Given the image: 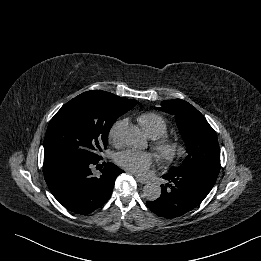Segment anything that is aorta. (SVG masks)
Wrapping results in <instances>:
<instances>
[{
    "mask_svg": "<svg viewBox=\"0 0 261 261\" xmlns=\"http://www.w3.org/2000/svg\"><path fill=\"white\" fill-rule=\"evenodd\" d=\"M125 143L133 149H142L146 145V137L141 129L135 125H128L123 131ZM146 199L154 201L161 195V188L154 183H148L143 188Z\"/></svg>",
    "mask_w": 261,
    "mask_h": 261,
    "instance_id": "762f6f07",
    "label": "aorta"
}]
</instances>
